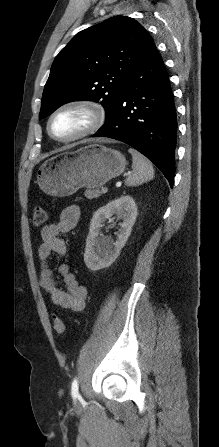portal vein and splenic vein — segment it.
Instances as JSON below:
<instances>
[{
    "label": "portal vein and splenic vein",
    "instance_id": "1",
    "mask_svg": "<svg viewBox=\"0 0 219 447\" xmlns=\"http://www.w3.org/2000/svg\"><path fill=\"white\" fill-rule=\"evenodd\" d=\"M101 191H102L103 193H106V192L108 191V188H107V187H102Z\"/></svg>",
    "mask_w": 219,
    "mask_h": 447
}]
</instances>
